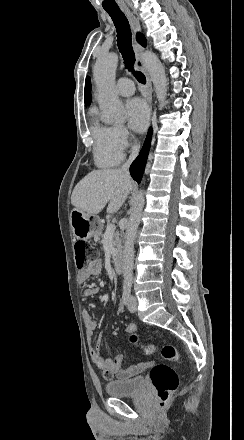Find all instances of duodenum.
Wrapping results in <instances>:
<instances>
[{
	"label": "duodenum",
	"instance_id": "duodenum-1",
	"mask_svg": "<svg viewBox=\"0 0 244 440\" xmlns=\"http://www.w3.org/2000/svg\"><path fill=\"white\" fill-rule=\"evenodd\" d=\"M114 270L117 273L123 272V256L121 254H116L113 257Z\"/></svg>",
	"mask_w": 244,
	"mask_h": 440
}]
</instances>
